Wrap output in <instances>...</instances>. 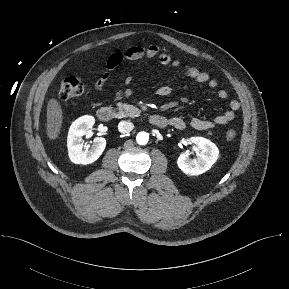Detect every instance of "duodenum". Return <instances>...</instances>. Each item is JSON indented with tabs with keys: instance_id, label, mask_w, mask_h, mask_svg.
<instances>
[{
	"instance_id": "1",
	"label": "duodenum",
	"mask_w": 289,
	"mask_h": 289,
	"mask_svg": "<svg viewBox=\"0 0 289 289\" xmlns=\"http://www.w3.org/2000/svg\"><path fill=\"white\" fill-rule=\"evenodd\" d=\"M117 115L118 112L116 111V109L110 106H103L97 111V117L102 122H108L117 117ZM148 121L159 128H164L169 124V120L165 116L160 114H154L149 116Z\"/></svg>"
}]
</instances>
